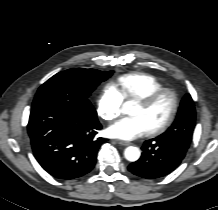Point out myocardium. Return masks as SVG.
Instances as JSON below:
<instances>
[{
    "label": "myocardium",
    "instance_id": "obj_1",
    "mask_svg": "<svg viewBox=\"0 0 218 210\" xmlns=\"http://www.w3.org/2000/svg\"><path fill=\"white\" fill-rule=\"evenodd\" d=\"M164 96H169L171 99V110L166 118V120L160 124L159 126L152 128L149 130L150 135H157L164 131H166L174 122L178 109H179V98L177 93L170 89V88H162L157 91H154L138 100V103H140L144 107H151L154 105L159 99H161Z\"/></svg>",
    "mask_w": 218,
    "mask_h": 210
}]
</instances>
